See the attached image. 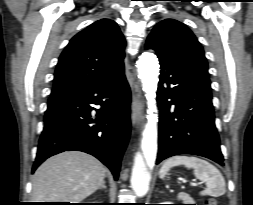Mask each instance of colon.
Here are the masks:
<instances>
[{
    "mask_svg": "<svg viewBox=\"0 0 253 205\" xmlns=\"http://www.w3.org/2000/svg\"><path fill=\"white\" fill-rule=\"evenodd\" d=\"M205 205H218L214 199H208Z\"/></svg>",
    "mask_w": 253,
    "mask_h": 205,
    "instance_id": "obj_1",
    "label": "colon"
}]
</instances>
